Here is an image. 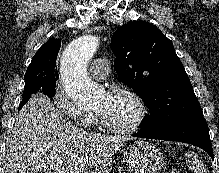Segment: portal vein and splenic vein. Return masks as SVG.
Masks as SVG:
<instances>
[{
	"instance_id": "1",
	"label": "portal vein and splenic vein",
	"mask_w": 219,
	"mask_h": 173,
	"mask_svg": "<svg viewBox=\"0 0 219 173\" xmlns=\"http://www.w3.org/2000/svg\"><path fill=\"white\" fill-rule=\"evenodd\" d=\"M59 173H69L67 170H60Z\"/></svg>"
}]
</instances>
